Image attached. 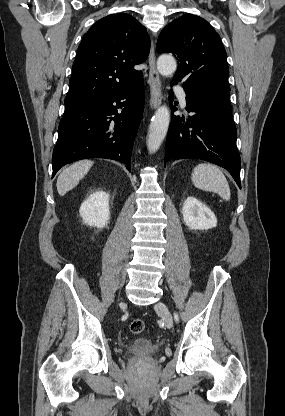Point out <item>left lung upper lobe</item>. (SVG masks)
Returning <instances> with one entry per match:
<instances>
[{
    "label": "left lung upper lobe",
    "instance_id": "1",
    "mask_svg": "<svg viewBox=\"0 0 285 416\" xmlns=\"http://www.w3.org/2000/svg\"><path fill=\"white\" fill-rule=\"evenodd\" d=\"M156 49L178 58L172 82H182L188 97L230 107L226 51L206 20L192 14L175 19L160 33Z\"/></svg>",
    "mask_w": 285,
    "mask_h": 416
}]
</instances>
